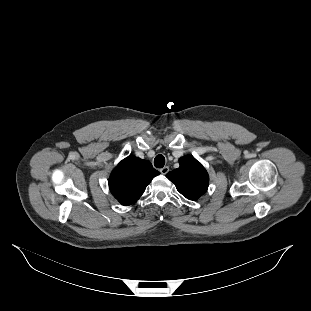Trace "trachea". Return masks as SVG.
I'll return each instance as SVG.
<instances>
[{"instance_id":"1","label":"trachea","mask_w":311,"mask_h":311,"mask_svg":"<svg viewBox=\"0 0 311 311\" xmlns=\"http://www.w3.org/2000/svg\"><path fill=\"white\" fill-rule=\"evenodd\" d=\"M165 165V158L163 155L159 154L154 159V166L156 168H162Z\"/></svg>"}]
</instances>
